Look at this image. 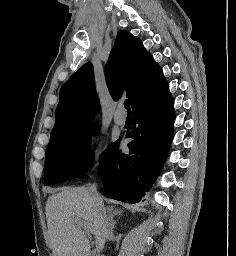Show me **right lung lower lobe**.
Masks as SVG:
<instances>
[{
  "label": "right lung lower lobe",
  "mask_w": 236,
  "mask_h": 256,
  "mask_svg": "<svg viewBox=\"0 0 236 256\" xmlns=\"http://www.w3.org/2000/svg\"><path fill=\"white\" fill-rule=\"evenodd\" d=\"M173 104L166 81L132 108L134 129L126 135L133 138L127 144L129 154L119 150L118 140L98 166L104 191L110 198L133 204L152 187L172 142Z\"/></svg>",
  "instance_id": "right-lung-lower-lobe-1"
}]
</instances>
